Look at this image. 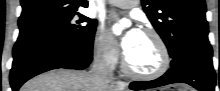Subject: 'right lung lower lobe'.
<instances>
[{
  "label": "right lung lower lobe",
  "mask_w": 220,
  "mask_h": 91,
  "mask_svg": "<svg viewBox=\"0 0 220 91\" xmlns=\"http://www.w3.org/2000/svg\"><path fill=\"white\" fill-rule=\"evenodd\" d=\"M93 40L74 43L50 31L21 30L13 49L12 91L28 79L56 68L85 69L92 61Z\"/></svg>",
  "instance_id": "right-lung-lower-lobe-1"
}]
</instances>
